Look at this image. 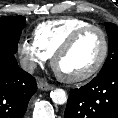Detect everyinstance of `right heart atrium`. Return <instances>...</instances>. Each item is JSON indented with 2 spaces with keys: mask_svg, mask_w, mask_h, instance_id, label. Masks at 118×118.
Here are the masks:
<instances>
[{
  "mask_svg": "<svg viewBox=\"0 0 118 118\" xmlns=\"http://www.w3.org/2000/svg\"><path fill=\"white\" fill-rule=\"evenodd\" d=\"M18 53L23 66L32 71L38 65H42L48 60V56L38 47L34 40L23 39L18 45Z\"/></svg>",
  "mask_w": 118,
  "mask_h": 118,
  "instance_id": "obj_1",
  "label": "right heart atrium"
}]
</instances>
